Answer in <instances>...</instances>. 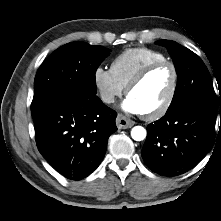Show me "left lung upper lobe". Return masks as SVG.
<instances>
[{"label":"left lung upper lobe","instance_id":"left-lung-upper-lobe-1","mask_svg":"<svg viewBox=\"0 0 221 221\" xmlns=\"http://www.w3.org/2000/svg\"><path fill=\"white\" fill-rule=\"evenodd\" d=\"M156 43L167 48L178 75L174 97L168 109L194 101L217 111L218 101L211 77L200 57L174 41L159 40Z\"/></svg>","mask_w":221,"mask_h":221}]
</instances>
